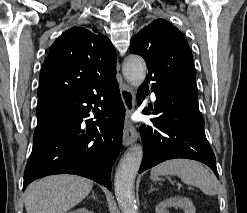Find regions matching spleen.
Returning <instances> with one entry per match:
<instances>
[{
  "instance_id": "obj_1",
  "label": "spleen",
  "mask_w": 247,
  "mask_h": 213,
  "mask_svg": "<svg viewBox=\"0 0 247 213\" xmlns=\"http://www.w3.org/2000/svg\"><path fill=\"white\" fill-rule=\"evenodd\" d=\"M152 176L176 175L188 185L199 187L203 193L214 196L219 191V182L201 163L188 159L165 161L151 169Z\"/></svg>"
}]
</instances>
